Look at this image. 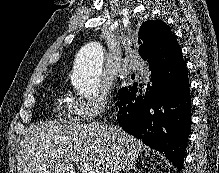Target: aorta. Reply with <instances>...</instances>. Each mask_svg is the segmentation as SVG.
Here are the masks:
<instances>
[{"mask_svg": "<svg viewBox=\"0 0 219 173\" xmlns=\"http://www.w3.org/2000/svg\"><path fill=\"white\" fill-rule=\"evenodd\" d=\"M104 60L103 48L98 42H90L78 53L73 85L79 95L94 97L100 89V75Z\"/></svg>", "mask_w": 219, "mask_h": 173, "instance_id": "1", "label": "aorta"}]
</instances>
